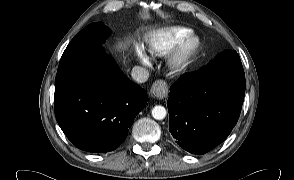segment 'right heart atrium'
Returning a JSON list of instances; mask_svg holds the SVG:
<instances>
[{"instance_id": "1", "label": "right heart atrium", "mask_w": 294, "mask_h": 180, "mask_svg": "<svg viewBox=\"0 0 294 180\" xmlns=\"http://www.w3.org/2000/svg\"><path fill=\"white\" fill-rule=\"evenodd\" d=\"M136 55L139 58V60L144 64V65H148L149 64V58L146 56L145 53H143L141 50L136 49Z\"/></svg>"}]
</instances>
